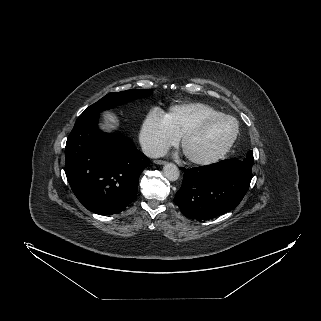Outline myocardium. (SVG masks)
Here are the masks:
<instances>
[{
  "mask_svg": "<svg viewBox=\"0 0 321 321\" xmlns=\"http://www.w3.org/2000/svg\"><path fill=\"white\" fill-rule=\"evenodd\" d=\"M221 119H228V120L233 121L234 132L231 135V137L228 139V141L220 148V150L218 152H216L212 156L205 157V158L195 157V156L189 155L185 152V150H184L185 144L190 138L196 136L206 126H208L212 122L217 121V120H221ZM238 134H239V124H238L237 119L231 115L221 113L218 115H212V116L206 117V118L200 120L198 123H196L192 127H190L189 129H187L180 136L179 143H180V146H181L184 156L186 157V159L190 163H193L196 165H210V164L216 163L219 160H221L229 152V150L231 149V147L235 143V141L238 137Z\"/></svg>",
  "mask_w": 321,
  "mask_h": 321,
  "instance_id": "1",
  "label": "myocardium"
}]
</instances>
